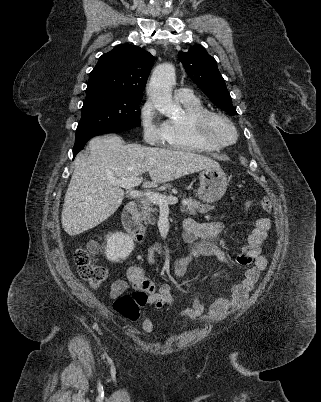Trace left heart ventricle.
I'll return each mask as SVG.
<instances>
[{
    "label": "left heart ventricle",
    "mask_w": 321,
    "mask_h": 402,
    "mask_svg": "<svg viewBox=\"0 0 321 402\" xmlns=\"http://www.w3.org/2000/svg\"><path fill=\"white\" fill-rule=\"evenodd\" d=\"M210 134L220 141H231L233 139L232 129L222 120L213 119L209 125Z\"/></svg>",
    "instance_id": "left-heart-ventricle-1"
}]
</instances>
